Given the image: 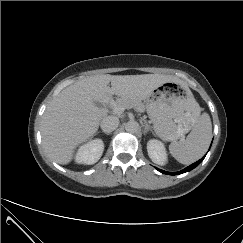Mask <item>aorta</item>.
<instances>
[{"label": "aorta", "mask_w": 243, "mask_h": 243, "mask_svg": "<svg viewBox=\"0 0 243 243\" xmlns=\"http://www.w3.org/2000/svg\"><path fill=\"white\" fill-rule=\"evenodd\" d=\"M125 129L129 133H135L139 129V124L134 120H130L126 123Z\"/></svg>", "instance_id": "obj_1"}]
</instances>
